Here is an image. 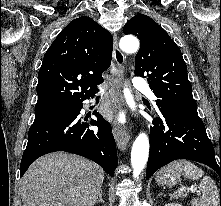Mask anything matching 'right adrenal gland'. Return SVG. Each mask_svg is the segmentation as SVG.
Instances as JSON below:
<instances>
[{
	"instance_id": "2a0ac1e0",
	"label": "right adrenal gland",
	"mask_w": 221,
	"mask_h": 206,
	"mask_svg": "<svg viewBox=\"0 0 221 206\" xmlns=\"http://www.w3.org/2000/svg\"><path fill=\"white\" fill-rule=\"evenodd\" d=\"M98 203H105L104 202V199H103V197H102V190L99 192V199L96 201V204H98Z\"/></svg>"
}]
</instances>
